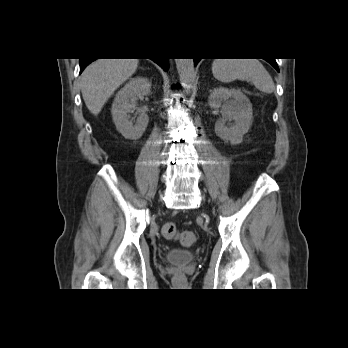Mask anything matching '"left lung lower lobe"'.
I'll use <instances>...</instances> for the list:
<instances>
[{
	"label": "left lung lower lobe",
	"mask_w": 348,
	"mask_h": 348,
	"mask_svg": "<svg viewBox=\"0 0 348 348\" xmlns=\"http://www.w3.org/2000/svg\"><path fill=\"white\" fill-rule=\"evenodd\" d=\"M200 59L196 58L194 59V66L197 65V63L199 62ZM267 62H269L277 71H279V68H278V65L275 61V59H272V60H266Z\"/></svg>",
	"instance_id": "obj_1"
}]
</instances>
